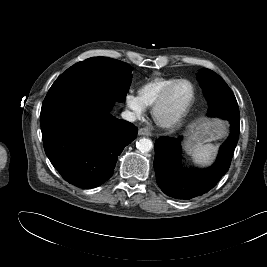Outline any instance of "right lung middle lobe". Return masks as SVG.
I'll list each match as a JSON object with an SVG mask.
<instances>
[{"mask_svg":"<svg viewBox=\"0 0 267 267\" xmlns=\"http://www.w3.org/2000/svg\"><path fill=\"white\" fill-rule=\"evenodd\" d=\"M132 68L125 62L92 57L67 69L49 89L43 104L72 92H91L123 102L132 80Z\"/></svg>","mask_w":267,"mask_h":267,"instance_id":"1","label":"right lung middle lobe"}]
</instances>
